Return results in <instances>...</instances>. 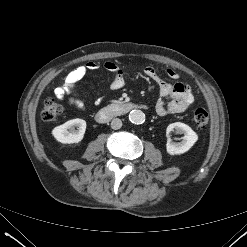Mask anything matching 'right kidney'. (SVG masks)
<instances>
[{"label": "right kidney", "instance_id": "right-kidney-1", "mask_svg": "<svg viewBox=\"0 0 247 247\" xmlns=\"http://www.w3.org/2000/svg\"><path fill=\"white\" fill-rule=\"evenodd\" d=\"M85 131L86 121L76 118L55 127L52 130V135L57 141L63 144H73L83 140Z\"/></svg>", "mask_w": 247, "mask_h": 247}]
</instances>
